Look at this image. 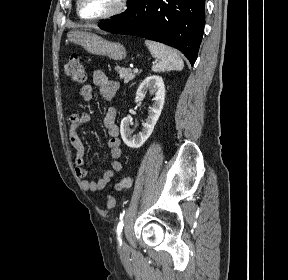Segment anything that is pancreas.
Wrapping results in <instances>:
<instances>
[{
  "instance_id": "obj_1",
  "label": "pancreas",
  "mask_w": 288,
  "mask_h": 280,
  "mask_svg": "<svg viewBox=\"0 0 288 280\" xmlns=\"http://www.w3.org/2000/svg\"><path fill=\"white\" fill-rule=\"evenodd\" d=\"M115 70L118 72L120 79L124 80V83H128L129 81L135 78V73H132L130 69L124 67H115Z\"/></svg>"
}]
</instances>
